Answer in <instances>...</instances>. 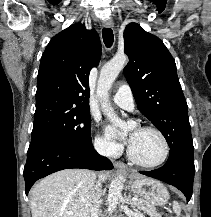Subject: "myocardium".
Returning a JSON list of instances; mask_svg holds the SVG:
<instances>
[{
  "label": "myocardium",
  "mask_w": 211,
  "mask_h": 217,
  "mask_svg": "<svg viewBox=\"0 0 211 217\" xmlns=\"http://www.w3.org/2000/svg\"><path fill=\"white\" fill-rule=\"evenodd\" d=\"M139 129L142 131H152L158 134L164 144V153H163L162 158L159 161L154 162V163H145V162L140 161L138 158H136L135 155L132 153L130 147H128L127 156L129 160L135 165H138L143 168H156V167L163 165L167 161L169 154H170V145H169L167 137L160 129L154 126L146 125V126L139 127Z\"/></svg>",
  "instance_id": "myocardium-1"
}]
</instances>
